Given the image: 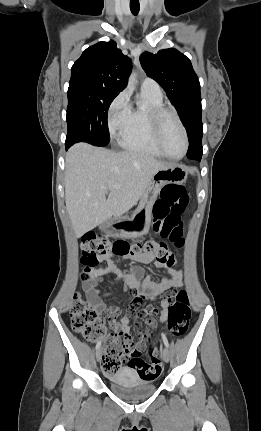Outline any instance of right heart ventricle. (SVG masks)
<instances>
[{
	"mask_svg": "<svg viewBox=\"0 0 261 431\" xmlns=\"http://www.w3.org/2000/svg\"><path fill=\"white\" fill-rule=\"evenodd\" d=\"M148 101V108H135L131 110L126 126L119 136L122 148L154 157H164L156 146L148 119V110L154 107H163L162 95H155L142 90Z\"/></svg>",
	"mask_w": 261,
	"mask_h": 431,
	"instance_id": "1",
	"label": "right heart ventricle"
}]
</instances>
